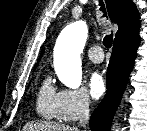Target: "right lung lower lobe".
<instances>
[{"instance_id":"right-lung-lower-lobe-1","label":"right lung lower lobe","mask_w":147,"mask_h":131,"mask_svg":"<svg viewBox=\"0 0 147 131\" xmlns=\"http://www.w3.org/2000/svg\"><path fill=\"white\" fill-rule=\"evenodd\" d=\"M139 42L138 31L114 41L107 69V91L90 118L89 126L92 131H110L112 119L133 68Z\"/></svg>"}]
</instances>
